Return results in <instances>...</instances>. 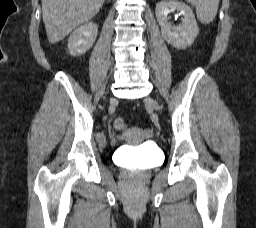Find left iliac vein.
<instances>
[{
  "label": "left iliac vein",
  "mask_w": 256,
  "mask_h": 228,
  "mask_svg": "<svg viewBox=\"0 0 256 228\" xmlns=\"http://www.w3.org/2000/svg\"><path fill=\"white\" fill-rule=\"evenodd\" d=\"M146 103H147L149 106H151V107H153L154 109H156V110L159 109V106H158L157 102H156L155 100L151 99V98H147V99H146Z\"/></svg>",
  "instance_id": "4c4485c4"
}]
</instances>
